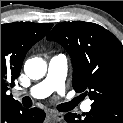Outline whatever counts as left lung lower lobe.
Returning <instances> with one entry per match:
<instances>
[{"label":"left lung lower lobe","mask_w":123,"mask_h":123,"mask_svg":"<svg viewBox=\"0 0 123 123\" xmlns=\"http://www.w3.org/2000/svg\"><path fill=\"white\" fill-rule=\"evenodd\" d=\"M64 118L69 123H123V108L114 104L92 106L88 113H68Z\"/></svg>","instance_id":"1"}]
</instances>
